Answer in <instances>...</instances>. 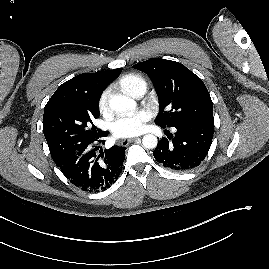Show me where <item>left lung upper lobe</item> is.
<instances>
[{
    "label": "left lung upper lobe",
    "mask_w": 269,
    "mask_h": 269,
    "mask_svg": "<svg viewBox=\"0 0 269 269\" xmlns=\"http://www.w3.org/2000/svg\"><path fill=\"white\" fill-rule=\"evenodd\" d=\"M152 80L159 96L156 124L174 127L185 122H213V103L202 80L183 64L152 58L133 65Z\"/></svg>",
    "instance_id": "5c2ea615"
}]
</instances>
